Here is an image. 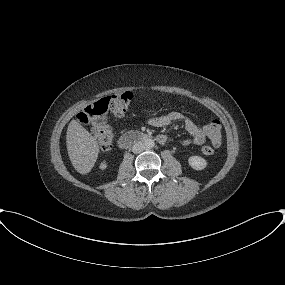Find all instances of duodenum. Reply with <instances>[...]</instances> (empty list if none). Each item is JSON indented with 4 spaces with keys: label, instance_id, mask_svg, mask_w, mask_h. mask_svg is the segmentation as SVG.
<instances>
[{
    "label": "duodenum",
    "instance_id": "410a0bca",
    "mask_svg": "<svg viewBox=\"0 0 285 285\" xmlns=\"http://www.w3.org/2000/svg\"><path fill=\"white\" fill-rule=\"evenodd\" d=\"M153 137L150 134L142 132H129L119 137L118 146L121 149L131 147L135 144L143 143L151 140ZM161 143L165 141L160 140Z\"/></svg>",
    "mask_w": 285,
    "mask_h": 285
}]
</instances>
